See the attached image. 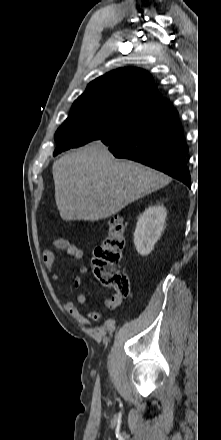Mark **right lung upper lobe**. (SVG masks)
Wrapping results in <instances>:
<instances>
[{"label":"right lung upper lobe","mask_w":221,"mask_h":440,"mask_svg":"<svg viewBox=\"0 0 221 440\" xmlns=\"http://www.w3.org/2000/svg\"><path fill=\"white\" fill-rule=\"evenodd\" d=\"M161 98L149 73L139 68H120L92 81L75 102L109 101L136 112Z\"/></svg>","instance_id":"obj_1"}]
</instances>
